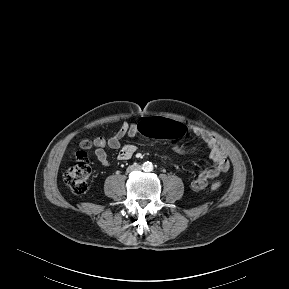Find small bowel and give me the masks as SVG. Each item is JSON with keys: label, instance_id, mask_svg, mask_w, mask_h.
Listing matches in <instances>:
<instances>
[{"label": "small bowel", "instance_id": "obj_1", "mask_svg": "<svg viewBox=\"0 0 289 289\" xmlns=\"http://www.w3.org/2000/svg\"><path fill=\"white\" fill-rule=\"evenodd\" d=\"M137 124L138 123L124 122L116 131V133L110 138L106 139L104 137H97L94 139L93 144L95 146V156L101 165H109L106 148L119 149V152L117 154V160L119 161H126L132 158V156L136 152V147L131 144L122 145L121 142L125 137H133L138 134L136 131ZM190 129L196 136H198L204 141L209 150V155L214 161L213 168L202 171L192 181V188L198 190L204 188L209 180L219 176L222 173L227 172L230 168V162L224 148L207 131L195 126L190 127ZM173 150L178 153H186V150L177 144L173 146Z\"/></svg>", "mask_w": 289, "mask_h": 289}]
</instances>
